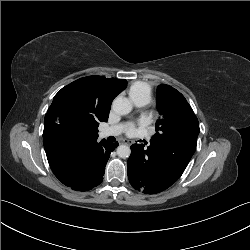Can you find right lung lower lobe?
<instances>
[{"label":"right lung lower lobe","instance_id":"98d812e1","mask_svg":"<svg viewBox=\"0 0 250 250\" xmlns=\"http://www.w3.org/2000/svg\"><path fill=\"white\" fill-rule=\"evenodd\" d=\"M118 145L106 140L90 143L86 148L74 153L65 174L56 177L73 190H91L102 182L110 153Z\"/></svg>","mask_w":250,"mask_h":250}]
</instances>
